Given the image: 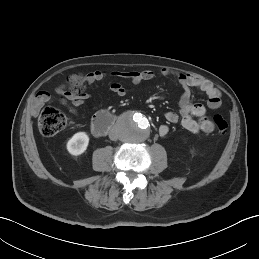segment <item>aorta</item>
<instances>
[{
	"label": "aorta",
	"instance_id": "aorta-1",
	"mask_svg": "<svg viewBox=\"0 0 259 259\" xmlns=\"http://www.w3.org/2000/svg\"><path fill=\"white\" fill-rule=\"evenodd\" d=\"M118 132L124 141L140 143L149 137L150 123L141 113L131 112L121 117Z\"/></svg>",
	"mask_w": 259,
	"mask_h": 259
}]
</instances>
